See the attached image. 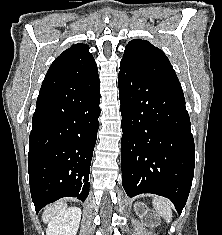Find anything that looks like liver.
<instances>
[{
  "label": "liver",
  "mask_w": 222,
  "mask_h": 235,
  "mask_svg": "<svg viewBox=\"0 0 222 235\" xmlns=\"http://www.w3.org/2000/svg\"><path fill=\"white\" fill-rule=\"evenodd\" d=\"M67 204L64 201H58L46 207L42 214L44 223L50 222L55 216L65 211Z\"/></svg>",
  "instance_id": "6515ba94"
}]
</instances>
